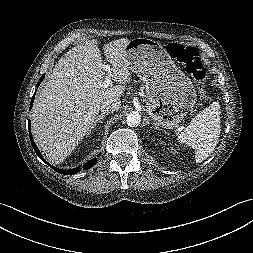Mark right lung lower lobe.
Listing matches in <instances>:
<instances>
[{"instance_id": "1", "label": "right lung lower lobe", "mask_w": 253, "mask_h": 253, "mask_svg": "<svg viewBox=\"0 0 253 253\" xmlns=\"http://www.w3.org/2000/svg\"><path fill=\"white\" fill-rule=\"evenodd\" d=\"M43 79H44V75L39 79V81H38V83H37V86L41 83V81H42ZM33 101H34V95H33L32 100H31L30 109H31V107H32ZM28 123H29V136H30L31 144H32V146H33V148H34V151L36 152L37 156H38L41 160H43V161H44L46 164H48L51 168H53L55 171H57V172H59V173H61V174L71 175V174H75V173H78L79 171H81V168H80V167H76V168L70 169V170H63V169L56 168V167L50 165L49 163H47V162L43 159V157H42V155H41L39 149L37 148V146H36V144H35V142H34V140H33V138H32L31 131H30V120L28 121ZM95 162H96L95 159L90 160L88 163H86V164L84 165V168H85V169L90 168L91 166H93V165L95 164Z\"/></svg>"}]
</instances>
